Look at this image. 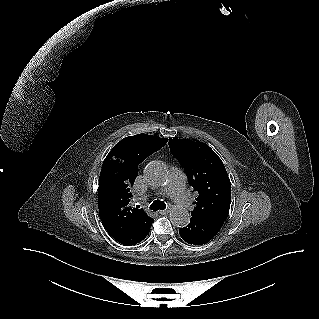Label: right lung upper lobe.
Wrapping results in <instances>:
<instances>
[{
	"label": "right lung upper lobe",
	"mask_w": 319,
	"mask_h": 319,
	"mask_svg": "<svg viewBox=\"0 0 319 319\" xmlns=\"http://www.w3.org/2000/svg\"><path fill=\"white\" fill-rule=\"evenodd\" d=\"M167 141L147 134L129 136L119 141L103 162L98 187L99 215L110 235L123 245L138 243L153 223L142 209L130 206L131 187L138 165Z\"/></svg>",
	"instance_id": "1"
}]
</instances>
